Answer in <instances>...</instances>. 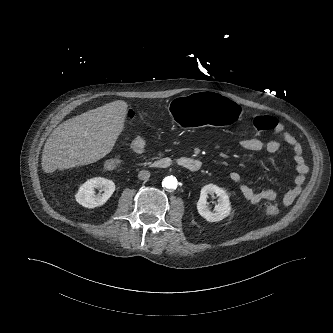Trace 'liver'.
<instances>
[{
	"mask_svg": "<svg viewBox=\"0 0 333 333\" xmlns=\"http://www.w3.org/2000/svg\"><path fill=\"white\" fill-rule=\"evenodd\" d=\"M127 107L117 100L61 123L44 145L43 171L88 165L109 154L123 130Z\"/></svg>",
	"mask_w": 333,
	"mask_h": 333,
	"instance_id": "obj_1",
	"label": "liver"
}]
</instances>
